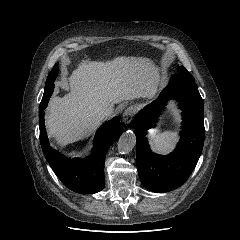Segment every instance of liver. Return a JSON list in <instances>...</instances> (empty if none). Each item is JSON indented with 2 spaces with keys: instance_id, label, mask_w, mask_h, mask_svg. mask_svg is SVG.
<instances>
[{
  "instance_id": "6515ba94",
  "label": "liver",
  "mask_w": 240,
  "mask_h": 240,
  "mask_svg": "<svg viewBox=\"0 0 240 240\" xmlns=\"http://www.w3.org/2000/svg\"><path fill=\"white\" fill-rule=\"evenodd\" d=\"M70 92L54 96L47 108V128L61 145L88 137L100 120L93 108L139 97H153L158 69L145 58L117 57L109 62H81L68 78Z\"/></svg>"
}]
</instances>
